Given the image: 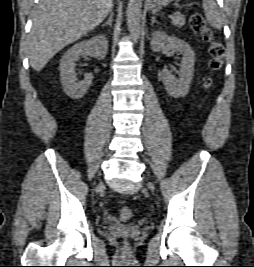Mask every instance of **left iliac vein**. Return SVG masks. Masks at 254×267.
Instances as JSON below:
<instances>
[{"label":"left iliac vein","mask_w":254,"mask_h":267,"mask_svg":"<svg viewBox=\"0 0 254 267\" xmlns=\"http://www.w3.org/2000/svg\"><path fill=\"white\" fill-rule=\"evenodd\" d=\"M147 187L150 189V190H153V186L151 184H147Z\"/></svg>","instance_id":"1"}]
</instances>
